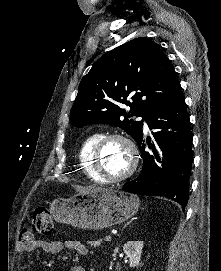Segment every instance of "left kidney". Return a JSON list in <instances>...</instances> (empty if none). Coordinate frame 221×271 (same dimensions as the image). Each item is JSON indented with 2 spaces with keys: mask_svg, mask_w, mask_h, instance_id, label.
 I'll return each instance as SVG.
<instances>
[{
  "mask_svg": "<svg viewBox=\"0 0 221 271\" xmlns=\"http://www.w3.org/2000/svg\"><path fill=\"white\" fill-rule=\"evenodd\" d=\"M144 247V241H126L123 245V251L126 257H129L130 267H136L141 261V253Z\"/></svg>",
  "mask_w": 221,
  "mask_h": 271,
  "instance_id": "5707ae66",
  "label": "left kidney"
}]
</instances>
